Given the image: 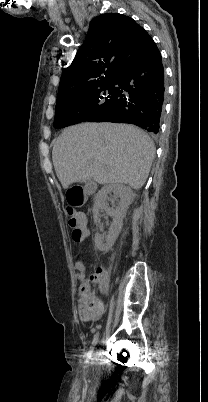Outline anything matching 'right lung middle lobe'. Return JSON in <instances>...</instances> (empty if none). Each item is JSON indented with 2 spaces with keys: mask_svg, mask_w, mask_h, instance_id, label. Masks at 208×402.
Listing matches in <instances>:
<instances>
[{
  "mask_svg": "<svg viewBox=\"0 0 208 402\" xmlns=\"http://www.w3.org/2000/svg\"><path fill=\"white\" fill-rule=\"evenodd\" d=\"M114 81L97 80L58 94L54 127L87 121L113 108L117 93Z\"/></svg>",
  "mask_w": 208,
  "mask_h": 402,
  "instance_id": "dd1d6c3e",
  "label": "right lung middle lobe"
}]
</instances>
